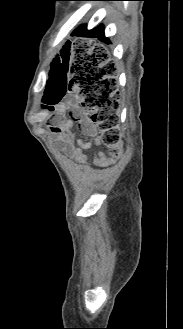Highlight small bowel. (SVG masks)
I'll use <instances>...</instances> for the list:
<instances>
[{
  "label": "small bowel",
  "mask_w": 183,
  "mask_h": 329,
  "mask_svg": "<svg viewBox=\"0 0 183 329\" xmlns=\"http://www.w3.org/2000/svg\"><path fill=\"white\" fill-rule=\"evenodd\" d=\"M74 117L78 120L82 131L92 137L91 141H85L83 139L76 140L75 133L72 130V122L67 121L59 128H53L54 132H57L61 143L62 149L67 152L71 157L75 158L79 162H86L87 157L85 150L91 148L92 144H99V139L96 136V129L92 122L86 117V115L76 109ZM94 162L96 165H103L107 163V159L103 152H97L95 154Z\"/></svg>",
  "instance_id": "c3829d8e"
}]
</instances>
